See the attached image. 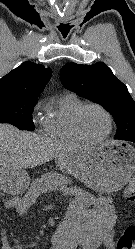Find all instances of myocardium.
Returning <instances> with one entry per match:
<instances>
[{
	"mask_svg": "<svg viewBox=\"0 0 135 249\" xmlns=\"http://www.w3.org/2000/svg\"><path fill=\"white\" fill-rule=\"evenodd\" d=\"M88 108H96L99 111H101L105 117L107 118L108 121V130L106 132V134L100 138V139H90L88 138L82 131L81 126H80V119L81 116L83 114V112L88 109ZM73 128L75 133L77 134V136L85 143V144H99L102 143L104 141H106L112 134L113 131V118L112 115L110 114V112L103 107L102 105L98 104V103H85L83 105H81L77 111L75 112L74 116H73Z\"/></svg>",
	"mask_w": 135,
	"mask_h": 249,
	"instance_id": "obj_1",
	"label": "myocardium"
}]
</instances>
